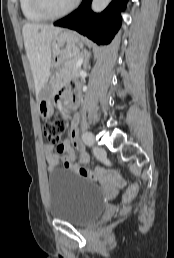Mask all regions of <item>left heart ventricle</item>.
Returning a JSON list of instances; mask_svg holds the SVG:
<instances>
[{"mask_svg":"<svg viewBox=\"0 0 174 258\" xmlns=\"http://www.w3.org/2000/svg\"><path fill=\"white\" fill-rule=\"evenodd\" d=\"M49 7L55 11H61L68 7L74 0H46Z\"/></svg>","mask_w":174,"mask_h":258,"instance_id":"obj_1","label":"left heart ventricle"}]
</instances>
